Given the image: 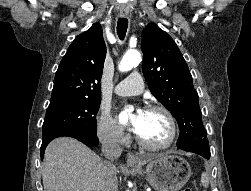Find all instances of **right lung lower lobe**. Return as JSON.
<instances>
[{
    "label": "right lung lower lobe",
    "instance_id": "right-lung-lower-lobe-1",
    "mask_svg": "<svg viewBox=\"0 0 251 191\" xmlns=\"http://www.w3.org/2000/svg\"><path fill=\"white\" fill-rule=\"evenodd\" d=\"M62 136H68V137H73L81 142H83L85 145L89 147H96L99 144V140L97 138L96 133H89L83 130L79 129H66L62 131H58L51 136L42 139V145H41V159L44 157V151L46 149V146L50 141L57 137H62Z\"/></svg>",
    "mask_w": 251,
    "mask_h": 191
}]
</instances>
